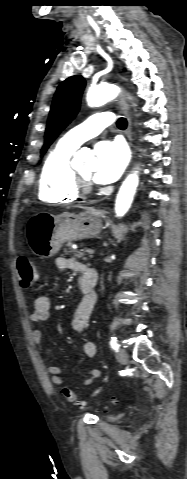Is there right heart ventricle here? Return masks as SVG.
<instances>
[{
    "label": "right heart ventricle",
    "instance_id": "obj_1",
    "mask_svg": "<svg viewBox=\"0 0 187 479\" xmlns=\"http://www.w3.org/2000/svg\"><path fill=\"white\" fill-rule=\"evenodd\" d=\"M76 148L60 140L46 157L38 183L39 198L46 203H71L79 198L70 159Z\"/></svg>",
    "mask_w": 187,
    "mask_h": 479
}]
</instances>
